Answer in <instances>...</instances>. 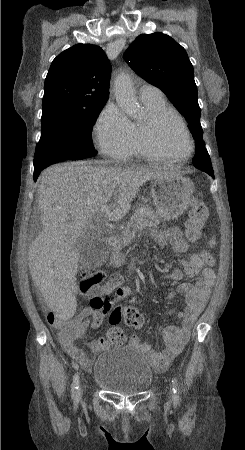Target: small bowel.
Listing matches in <instances>:
<instances>
[{
	"mask_svg": "<svg viewBox=\"0 0 245 450\" xmlns=\"http://www.w3.org/2000/svg\"><path fill=\"white\" fill-rule=\"evenodd\" d=\"M151 240L160 248L171 245L174 252L177 254H183L188 248L180 230L177 228H170L166 231L156 230L152 233ZM181 263L184 272L187 275H201L195 283H182L169 294L170 297H173L177 293L185 295L187 307L184 311L177 314V318L181 320V327H166L163 329L162 337L165 344L164 350H153L151 343L148 341H141L137 334L130 335L127 342L129 347L137 349L144 355L150 365L158 372L165 371L173 359L182 352L185 344L189 340L191 329L196 319L204 310L216 278L214 270L211 265L204 262L202 254L194 253L187 259H181ZM165 277L172 280H179L182 277V272L178 269H173L168 272ZM117 278L118 280L112 291L114 296L107 301L110 306L113 303L122 302L135 296V292L132 288L123 286L121 279L119 277ZM84 293L87 297L93 299V293ZM106 316L107 313L104 310H97L90 306L76 315L72 319V322L81 323L85 333L88 330H94L100 327L106 319ZM108 333L109 331L105 336L99 337L91 342V349L94 353L105 352L114 345L109 339ZM59 340L72 359L78 361L86 369L91 368L92 358L75 345L74 339L65 341L61 335H59Z\"/></svg>",
	"mask_w": 245,
	"mask_h": 450,
	"instance_id": "obj_1",
	"label": "small bowel"
}]
</instances>
